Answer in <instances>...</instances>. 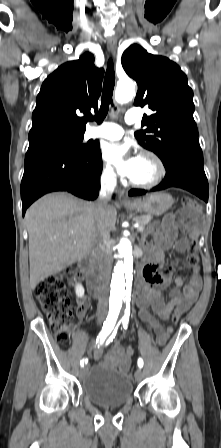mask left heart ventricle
Returning a JSON list of instances; mask_svg holds the SVG:
<instances>
[{
	"mask_svg": "<svg viewBox=\"0 0 221 448\" xmlns=\"http://www.w3.org/2000/svg\"><path fill=\"white\" fill-rule=\"evenodd\" d=\"M155 175V169L153 163L147 158L140 157V163L137 172L132 179L145 181L151 179Z\"/></svg>",
	"mask_w": 221,
	"mask_h": 448,
	"instance_id": "1",
	"label": "left heart ventricle"
}]
</instances>
